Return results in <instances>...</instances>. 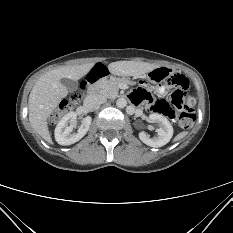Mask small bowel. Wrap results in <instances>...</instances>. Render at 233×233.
Here are the masks:
<instances>
[{
	"instance_id": "small-bowel-1",
	"label": "small bowel",
	"mask_w": 233,
	"mask_h": 233,
	"mask_svg": "<svg viewBox=\"0 0 233 233\" xmlns=\"http://www.w3.org/2000/svg\"><path fill=\"white\" fill-rule=\"evenodd\" d=\"M165 87L163 86H159L156 88V92L158 94H164L165 93ZM150 96V93L145 90V89H140V90H137L136 92H134L132 95H131V99L134 103H140L141 101H144V100H147ZM149 110L153 111L152 108H151V104L149 105ZM135 112L137 114L140 113V110L139 109H135ZM154 112V111H153Z\"/></svg>"
}]
</instances>
